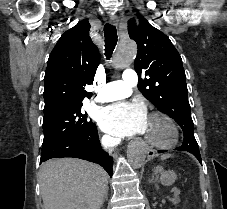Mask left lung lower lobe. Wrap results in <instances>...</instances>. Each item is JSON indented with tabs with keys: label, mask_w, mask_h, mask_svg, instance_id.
I'll list each match as a JSON object with an SVG mask.
<instances>
[{
	"label": "left lung lower lobe",
	"mask_w": 227,
	"mask_h": 209,
	"mask_svg": "<svg viewBox=\"0 0 227 209\" xmlns=\"http://www.w3.org/2000/svg\"><path fill=\"white\" fill-rule=\"evenodd\" d=\"M177 150H182V148L179 147V148H177ZM158 152H164V151L162 150V151H158ZM190 153H192L199 160V162L202 163L200 153H197V152H190Z\"/></svg>",
	"instance_id": "left-lung-lower-lobe-1"
}]
</instances>
